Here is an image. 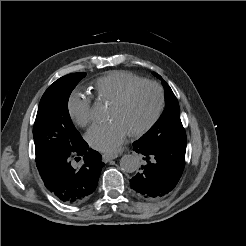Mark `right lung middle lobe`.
Returning <instances> with one entry per match:
<instances>
[{
	"label": "right lung middle lobe",
	"instance_id": "1",
	"mask_svg": "<svg viewBox=\"0 0 246 246\" xmlns=\"http://www.w3.org/2000/svg\"><path fill=\"white\" fill-rule=\"evenodd\" d=\"M85 76V72L63 76L43 94L33 127L36 162L69 152L82 140L70 118L68 100Z\"/></svg>",
	"mask_w": 246,
	"mask_h": 246
}]
</instances>
